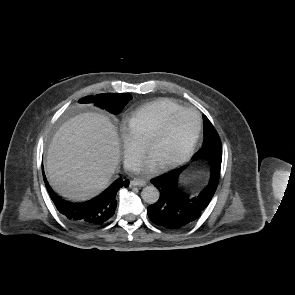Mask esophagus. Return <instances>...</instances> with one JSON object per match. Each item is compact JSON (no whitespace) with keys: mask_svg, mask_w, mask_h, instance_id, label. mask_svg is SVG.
Here are the masks:
<instances>
[{"mask_svg":"<svg viewBox=\"0 0 295 295\" xmlns=\"http://www.w3.org/2000/svg\"><path fill=\"white\" fill-rule=\"evenodd\" d=\"M130 184L131 186H145L146 181L142 179H133Z\"/></svg>","mask_w":295,"mask_h":295,"instance_id":"esophagus-1","label":"esophagus"}]
</instances>
